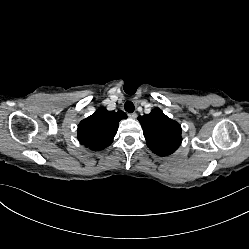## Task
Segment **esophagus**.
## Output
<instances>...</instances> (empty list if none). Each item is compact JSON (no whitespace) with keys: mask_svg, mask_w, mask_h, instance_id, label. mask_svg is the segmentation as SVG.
I'll return each mask as SVG.
<instances>
[{"mask_svg":"<svg viewBox=\"0 0 249 249\" xmlns=\"http://www.w3.org/2000/svg\"><path fill=\"white\" fill-rule=\"evenodd\" d=\"M128 116L132 119H136L137 118V114L136 113H130L128 114Z\"/></svg>","mask_w":249,"mask_h":249,"instance_id":"esophagus-1","label":"esophagus"}]
</instances>
